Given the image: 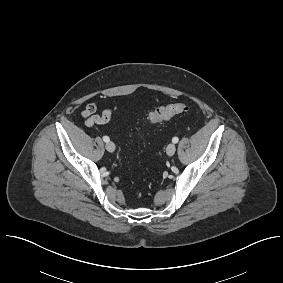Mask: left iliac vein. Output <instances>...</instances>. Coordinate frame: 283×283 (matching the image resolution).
<instances>
[{
    "instance_id": "4c4485c4",
    "label": "left iliac vein",
    "mask_w": 283,
    "mask_h": 283,
    "mask_svg": "<svg viewBox=\"0 0 283 283\" xmlns=\"http://www.w3.org/2000/svg\"><path fill=\"white\" fill-rule=\"evenodd\" d=\"M175 151H176V146L174 143H170L166 148V152L168 156H173Z\"/></svg>"
}]
</instances>
